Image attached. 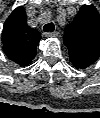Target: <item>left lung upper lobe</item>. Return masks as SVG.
<instances>
[{
    "mask_svg": "<svg viewBox=\"0 0 100 118\" xmlns=\"http://www.w3.org/2000/svg\"><path fill=\"white\" fill-rule=\"evenodd\" d=\"M64 44L75 67L84 69L100 56V15L93 5H83L67 25Z\"/></svg>",
    "mask_w": 100,
    "mask_h": 118,
    "instance_id": "5c2ea615",
    "label": "left lung upper lobe"
}]
</instances>
